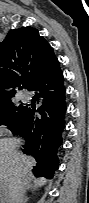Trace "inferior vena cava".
<instances>
[{"mask_svg":"<svg viewBox=\"0 0 89 203\" xmlns=\"http://www.w3.org/2000/svg\"><path fill=\"white\" fill-rule=\"evenodd\" d=\"M23 194H24V187H21V191L18 194V197L16 199V203H24V198H23Z\"/></svg>","mask_w":89,"mask_h":203,"instance_id":"602c4592","label":"inferior vena cava"}]
</instances>
